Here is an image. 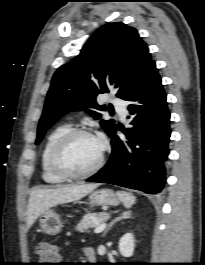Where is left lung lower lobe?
I'll use <instances>...</instances> for the list:
<instances>
[{
  "label": "left lung lower lobe",
  "instance_id": "0a47b994",
  "mask_svg": "<svg viewBox=\"0 0 205 265\" xmlns=\"http://www.w3.org/2000/svg\"><path fill=\"white\" fill-rule=\"evenodd\" d=\"M134 127L124 133L122 142L111 134L112 154L108 163L87 182H101L157 194L165 184V167L169 154L170 113L166 94L156 65L152 66L137 88L125 99Z\"/></svg>",
  "mask_w": 205,
  "mask_h": 265
}]
</instances>
